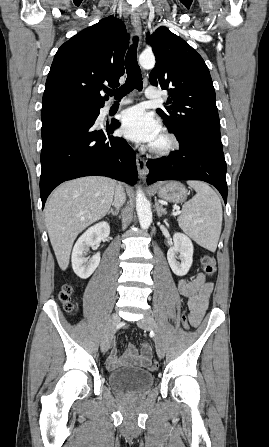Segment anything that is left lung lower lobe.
<instances>
[{
	"mask_svg": "<svg viewBox=\"0 0 269 447\" xmlns=\"http://www.w3.org/2000/svg\"><path fill=\"white\" fill-rule=\"evenodd\" d=\"M147 183L160 180H202L215 186L227 202L226 162L221 140L207 136L181 144L177 152L147 162Z\"/></svg>",
	"mask_w": 269,
	"mask_h": 447,
	"instance_id": "0a47b994",
	"label": "left lung lower lobe"
}]
</instances>
